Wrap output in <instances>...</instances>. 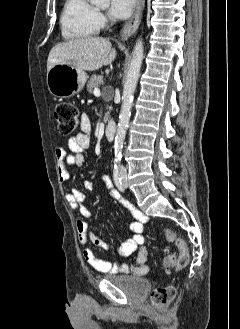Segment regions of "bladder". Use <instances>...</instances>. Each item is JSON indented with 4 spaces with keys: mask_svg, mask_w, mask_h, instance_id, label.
Segmentation results:
<instances>
[{
    "mask_svg": "<svg viewBox=\"0 0 240 329\" xmlns=\"http://www.w3.org/2000/svg\"><path fill=\"white\" fill-rule=\"evenodd\" d=\"M109 279L114 285L131 296H143L150 289L149 280L140 276L117 275L111 276Z\"/></svg>",
    "mask_w": 240,
    "mask_h": 329,
    "instance_id": "1",
    "label": "bladder"
}]
</instances>
